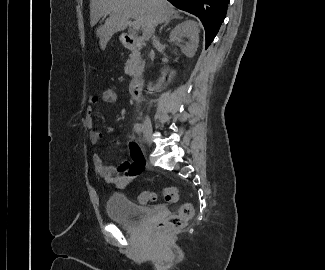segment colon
<instances>
[{
	"instance_id": "obj_1",
	"label": "colon",
	"mask_w": 325,
	"mask_h": 270,
	"mask_svg": "<svg viewBox=\"0 0 325 270\" xmlns=\"http://www.w3.org/2000/svg\"><path fill=\"white\" fill-rule=\"evenodd\" d=\"M101 100L105 104H113L117 100V94L112 88H105L101 93ZM164 199L169 203H174L178 200V191L174 187L164 188L161 191ZM157 193L152 191H143L139 194V201L143 204L156 200ZM193 206L191 203H184L180 206L178 213L169 216L167 219L158 223L155 227L156 232L163 233L172 230H178L193 216Z\"/></svg>"
}]
</instances>
